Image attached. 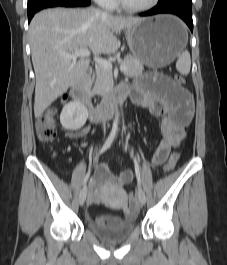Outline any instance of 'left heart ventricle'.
I'll use <instances>...</instances> for the list:
<instances>
[{"instance_id":"left-heart-ventricle-1","label":"left heart ventricle","mask_w":227,"mask_h":265,"mask_svg":"<svg viewBox=\"0 0 227 265\" xmlns=\"http://www.w3.org/2000/svg\"><path fill=\"white\" fill-rule=\"evenodd\" d=\"M152 0H125V2L133 7H142L149 4Z\"/></svg>"}]
</instances>
